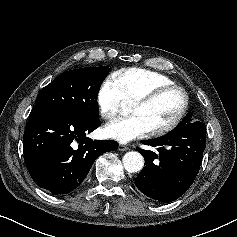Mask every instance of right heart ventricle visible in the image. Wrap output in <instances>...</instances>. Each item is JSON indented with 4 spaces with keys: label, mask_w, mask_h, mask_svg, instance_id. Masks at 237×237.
Returning a JSON list of instances; mask_svg holds the SVG:
<instances>
[{
    "label": "right heart ventricle",
    "mask_w": 237,
    "mask_h": 237,
    "mask_svg": "<svg viewBox=\"0 0 237 237\" xmlns=\"http://www.w3.org/2000/svg\"><path fill=\"white\" fill-rule=\"evenodd\" d=\"M113 79L120 87L125 102L128 103H133L156 87L175 84L168 76L143 68L119 70L113 74Z\"/></svg>",
    "instance_id": "e07e8e85"
}]
</instances>
